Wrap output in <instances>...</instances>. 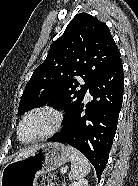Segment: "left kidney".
I'll use <instances>...</instances> for the list:
<instances>
[{"instance_id":"1","label":"left kidney","mask_w":138,"mask_h":186,"mask_svg":"<svg viewBox=\"0 0 138 186\" xmlns=\"http://www.w3.org/2000/svg\"><path fill=\"white\" fill-rule=\"evenodd\" d=\"M69 186H89V185L86 179H79L78 181L71 183Z\"/></svg>"}]
</instances>
